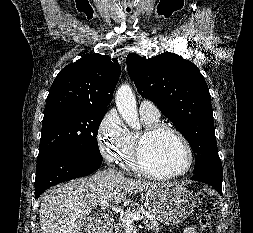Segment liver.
<instances>
[{
  "instance_id": "obj_1",
  "label": "liver",
  "mask_w": 253,
  "mask_h": 233,
  "mask_svg": "<svg viewBox=\"0 0 253 233\" xmlns=\"http://www.w3.org/2000/svg\"><path fill=\"white\" fill-rule=\"evenodd\" d=\"M166 185L126 178L117 172H98L48 190L39 209L42 233H83L86 214L107 200L121 203L127 194ZM87 211V212H86Z\"/></svg>"
}]
</instances>
